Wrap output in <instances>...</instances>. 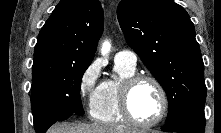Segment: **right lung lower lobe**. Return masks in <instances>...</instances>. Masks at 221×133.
Returning <instances> with one entry per match:
<instances>
[{"label":"right lung lower lobe","mask_w":221,"mask_h":133,"mask_svg":"<svg viewBox=\"0 0 221 133\" xmlns=\"http://www.w3.org/2000/svg\"><path fill=\"white\" fill-rule=\"evenodd\" d=\"M56 121L55 119H44L39 123L34 124L36 133H45L47 129L54 124Z\"/></svg>","instance_id":"98d812e1"}]
</instances>
